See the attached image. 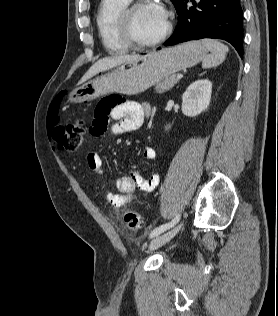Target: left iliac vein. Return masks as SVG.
Segmentation results:
<instances>
[{"instance_id": "4c4485c4", "label": "left iliac vein", "mask_w": 278, "mask_h": 316, "mask_svg": "<svg viewBox=\"0 0 278 316\" xmlns=\"http://www.w3.org/2000/svg\"><path fill=\"white\" fill-rule=\"evenodd\" d=\"M182 223L175 226L174 228H172L171 230L167 231L166 233H163L159 236H157L156 238H154L150 245H149V250H155L161 246H163L164 244H166L168 241H170L181 229L182 227Z\"/></svg>"}]
</instances>
